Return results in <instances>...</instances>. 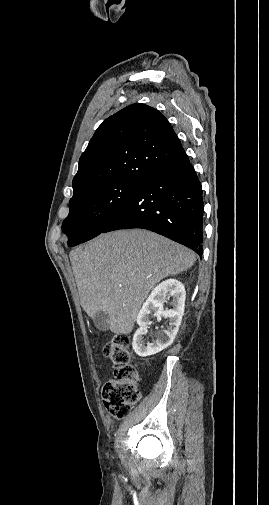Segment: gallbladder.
<instances>
[{
    "label": "gallbladder",
    "instance_id": "bac80fb5",
    "mask_svg": "<svg viewBox=\"0 0 269 505\" xmlns=\"http://www.w3.org/2000/svg\"><path fill=\"white\" fill-rule=\"evenodd\" d=\"M94 324L100 331L109 330V316L104 311H99L96 313L94 318Z\"/></svg>",
    "mask_w": 269,
    "mask_h": 505
}]
</instances>
